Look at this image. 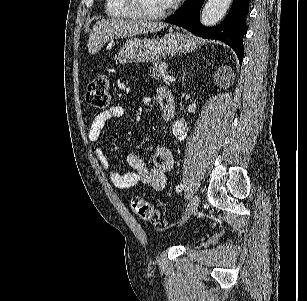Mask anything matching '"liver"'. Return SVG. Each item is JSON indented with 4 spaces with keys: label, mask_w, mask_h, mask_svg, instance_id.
<instances>
[{
    "label": "liver",
    "mask_w": 307,
    "mask_h": 301,
    "mask_svg": "<svg viewBox=\"0 0 307 301\" xmlns=\"http://www.w3.org/2000/svg\"><path fill=\"white\" fill-rule=\"evenodd\" d=\"M165 22L154 20H126V18H101L95 22L88 40L90 54H95L110 38H126L145 32H158L166 28Z\"/></svg>",
    "instance_id": "6515ba94"
}]
</instances>
